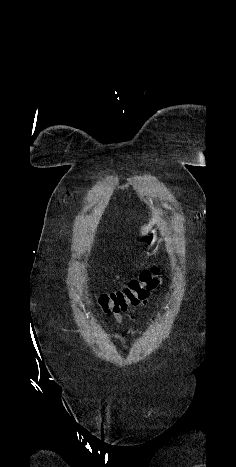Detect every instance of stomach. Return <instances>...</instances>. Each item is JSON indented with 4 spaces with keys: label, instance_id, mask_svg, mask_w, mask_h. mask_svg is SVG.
<instances>
[{
    "label": "stomach",
    "instance_id": "1",
    "mask_svg": "<svg viewBox=\"0 0 236 467\" xmlns=\"http://www.w3.org/2000/svg\"><path fill=\"white\" fill-rule=\"evenodd\" d=\"M156 241H157V232H156V230H152L150 232L149 238H148V240L146 242V246L148 248H150L156 243Z\"/></svg>",
    "mask_w": 236,
    "mask_h": 467
}]
</instances>
